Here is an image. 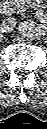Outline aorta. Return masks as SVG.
I'll use <instances>...</instances> for the list:
<instances>
[{
    "label": "aorta",
    "mask_w": 47,
    "mask_h": 129,
    "mask_svg": "<svg viewBox=\"0 0 47 129\" xmlns=\"http://www.w3.org/2000/svg\"><path fill=\"white\" fill-rule=\"evenodd\" d=\"M18 33L25 38H31L36 33L35 24L32 21H22L17 27Z\"/></svg>",
    "instance_id": "762f6f07"
}]
</instances>
